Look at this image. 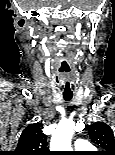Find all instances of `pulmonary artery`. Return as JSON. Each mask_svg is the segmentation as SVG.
Segmentation results:
<instances>
[{
    "mask_svg": "<svg viewBox=\"0 0 115 155\" xmlns=\"http://www.w3.org/2000/svg\"><path fill=\"white\" fill-rule=\"evenodd\" d=\"M74 145H75V148L80 151L89 150L92 148L91 144L88 141L83 139H77Z\"/></svg>",
    "mask_w": 115,
    "mask_h": 155,
    "instance_id": "1",
    "label": "pulmonary artery"
}]
</instances>
